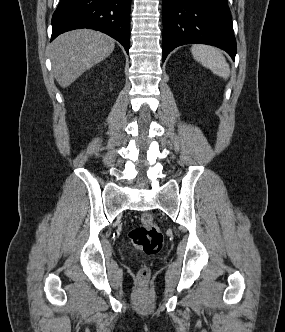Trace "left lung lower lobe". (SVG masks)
<instances>
[{"mask_svg":"<svg viewBox=\"0 0 285 332\" xmlns=\"http://www.w3.org/2000/svg\"><path fill=\"white\" fill-rule=\"evenodd\" d=\"M192 43L219 47L235 59L227 0H163V62L174 48Z\"/></svg>","mask_w":285,"mask_h":332,"instance_id":"1","label":"left lung lower lobe"}]
</instances>
